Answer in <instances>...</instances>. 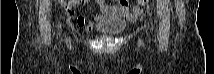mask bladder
I'll use <instances>...</instances> for the list:
<instances>
[{"label":"bladder","instance_id":"31cf9c89","mask_svg":"<svg viewBox=\"0 0 214 74\" xmlns=\"http://www.w3.org/2000/svg\"><path fill=\"white\" fill-rule=\"evenodd\" d=\"M125 20L116 15H106L103 16L99 24L97 25V30L101 34L106 35H118L125 29Z\"/></svg>","mask_w":214,"mask_h":74}]
</instances>
